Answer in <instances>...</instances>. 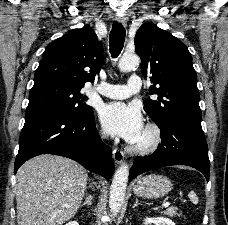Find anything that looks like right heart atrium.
I'll list each match as a JSON object with an SVG mask.
<instances>
[{"label": "right heart atrium", "mask_w": 228, "mask_h": 225, "mask_svg": "<svg viewBox=\"0 0 228 225\" xmlns=\"http://www.w3.org/2000/svg\"><path fill=\"white\" fill-rule=\"evenodd\" d=\"M101 136L103 137V136H104V134H103V133H101Z\"/></svg>", "instance_id": "d8ad5b80"}]
</instances>
